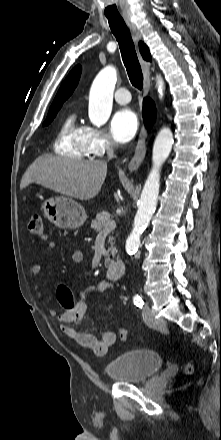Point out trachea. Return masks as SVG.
Masks as SVG:
<instances>
[{
	"label": "trachea",
	"mask_w": 221,
	"mask_h": 440,
	"mask_svg": "<svg viewBox=\"0 0 221 440\" xmlns=\"http://www.w3.org/2000/svg\"><path fill=\"white\" fill-rule=\"evenodd\" d=\"M108 22L112 33L119 43L122 60L130 82L134 87L141 90L143 87V74L130 31L121 17H108Z\"/></svg>",
	"instance_id": "1"
}]
</instances>
